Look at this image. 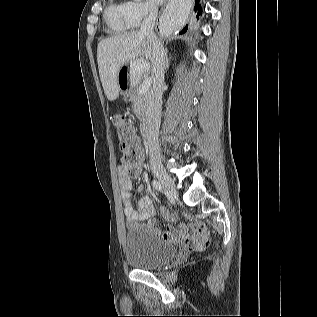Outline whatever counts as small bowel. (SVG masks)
I'll use <instances>...</instances> for the list:
<instances>
[{
  "label": "small bowel",
  "instance_id": "1",
  "mask_svg": "<svg viewBox=\"0 0 317 317\" xmlns=\"http://www.w3.org/2000/svg\"><path fill=\"white\" fill-rule=\"evenodd\" d=\"M140 156L141 153H140ZM119 184L121 195L123 199V212L126 218V222L129 226H133L141 221H148L154 215V209L150 198L143 194L144 186L138 187L137 197V209L133 207L131 199L132 180L128 175L125 165H121L118 168ZM162 216L170 224L168 228L161 234L160 231L155 228L150 222L147 223L148 229L154 235H162L165 240H181L186 244L200 243L207 237V228L198 219H193L191 222L192 234H190L184 225H179L177 229H174L171 225L176 224L177 220L174 215L168 213L166 210H161Z\"/></svg>",
  "mask_w": 317,
  "mask_h": 317
}]
</instances>
